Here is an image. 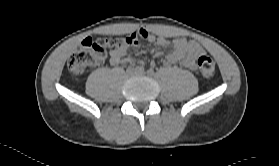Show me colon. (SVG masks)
<instances>
[{
  "label": "colon",
  "mask_w": 279,
  "mask_h": 166,
  "mask_svg": "<svg viewBox=\"0 0 279 166\" xmlns=\"http://www.w3.org/2000/svg\"><path fill=\"white\" fill-rule=\"evenodd\" d=\"M134 41L133 36L86 38L68 60V69L74 75H82L90 68L104 62L112 52L122 49ZM198 69L204 76L215 72V61L209 55H200Z\"/></svg>",
  "instance_id": "5ec220e1"
}]
</instances>
